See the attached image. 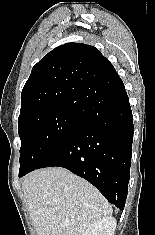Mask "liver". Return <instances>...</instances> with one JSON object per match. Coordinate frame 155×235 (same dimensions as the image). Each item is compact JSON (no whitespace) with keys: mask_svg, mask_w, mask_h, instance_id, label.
<instances>
[{"mask_svg":"<svg viewBox=\"0 0 155 235\" xmlns=\"http://www.w3.org/2000/svg\"><path fill=\"white\" fill-rule=\"evenodd\" d=\"M22 189L37 235H82L113 212L94 186L64 168L34 171Z\"/></svg>","mask_w":155,"mask_h":235,"instance_id":"6515ba94","label":"liver"}]
</instances>
